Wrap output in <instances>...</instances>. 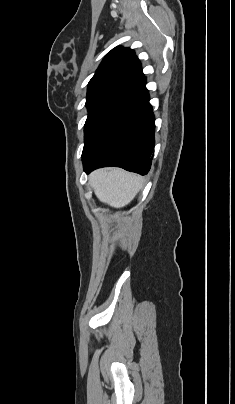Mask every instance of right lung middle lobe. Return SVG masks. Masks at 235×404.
<instances>
[{
  "label": "right lung middle lobe",
  "mask_w": 235,
  "mask_h": 404,
  "mask_svg": "<svg viewBox=\"0 0 235 404\" xmlns=\"http://www.w3.org/2000/svg\"><path fill=\"white\" fill-rule=\"evenodd\" d=\"M128 87L127 84H102L88 88L86 107L89 114L84 128L85 140Z\"/></svg>",
  "instance_id": "right-lung-middle-lobe-1"
}]
</instances>
